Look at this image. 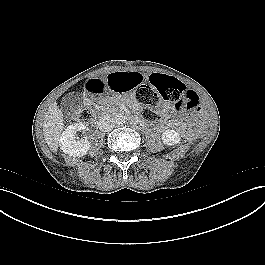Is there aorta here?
<instances>
[{"label": "aorta", "mask_w": 265, "mask_h": 265, "mask_svg": "<svg viewBox=\"0 0 265 265\" xmlns=\"http://www.w3.org/2000/svg\"><path fill=\"white\" fill-rule=\"evenodd\" d=\"M126 117L123 114H116L114 116V122L118 125L125 123Z\"/></svg>", "instance_id": "1"}]
</instances>
